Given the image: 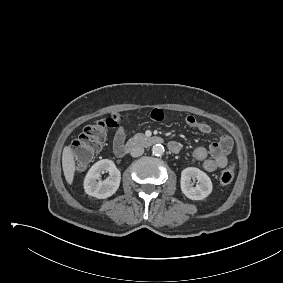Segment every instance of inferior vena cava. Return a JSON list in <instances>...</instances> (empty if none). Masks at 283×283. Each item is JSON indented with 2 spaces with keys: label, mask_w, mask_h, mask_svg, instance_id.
<instances>
[{
  "label": "inferior vena cava",
  "mask_w": 283,
  "mask_h": 283,
  "mask_svg": "<svg viewBox=\"0 0 283 283\" xmlns=\"http://www.w3.org/2000/svg\"><path fill=\"white\" fill-rule=\"evenodd\" d=\"M130 153L132 157H139L144 153V148L141 146H135L131 149Z\"/></svg>",
  "instance_id": "602c4592"
}]
</instances>
